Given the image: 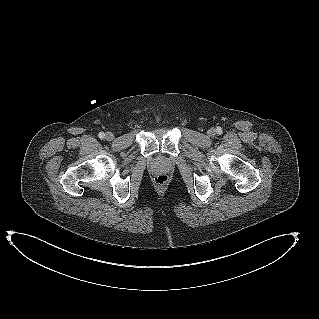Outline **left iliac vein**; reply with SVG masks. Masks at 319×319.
Here are the masks:
<instances>
[{"label":"left iliac vein","mask_w":319,"mask_h":319,"mask_svg":"<svg viewBox=\"0 0 319 319\" xmlns=\"http://www.w3.org/2000/svg\"><path fill=\"white\" fill-rule=\"evenodd\" d=\"M208 135L209 136H214L215 135V130L213 128L208 130Z\"/></svg>","instance_id":"left-iliac-vein-1"}]
</instances>
